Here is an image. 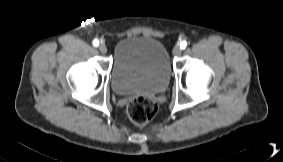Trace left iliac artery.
<instances>
[{"label": "left iliac artery", "mask_w": 283, "mask_h": 162, "mask_svg": "<svg viewBox=\"0 0 283 162\" xmlns=\"http://www.w3.org/2000/svg\"><path fill=\"white\" fill-rule=\"evenodd\" d=\"M186 46H187V42H186V41H182V42L180 43V47H181L182 49L186 48Z\"/></svg>", "instance_id": "1"}]
</instances>
